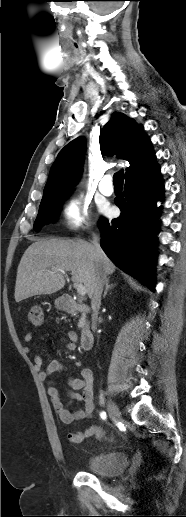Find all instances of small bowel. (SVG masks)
<instances>
[{
    "label": "small bowel",
    "instance_id": "small-bowel-1",
    "mask_svg": "<svg viewBox=\"0 0 186 517\" xmlns=\"http://www.w3.org/2000/svg\"><path fill=\"white\" fill-rule=\"evenodd\" d=\"M68 341L66 343V348L70 351H73L77 348L78 336L75 332L69 331L67 333ZM27 343L31 342L33 339V335L28 333L24 337ZM30 347L26 346L25 351L30 352ZM34 366L38 371L39 377L43 380L48 379L50 376L54 374L61 373L66 370V366L64 363L58 360L50 361L47 366L43 369L44 359L42 356L37 355L34 357ZM67 396L70 398V401L67 403H63L61 400V395L59 389L55 386L53 382L49 383L48 386V394L52 403V406L58 415L60 421L64 424H72L76 421L83 419H91L94 416L95 410V401H94V377L91 369L83 368L80 371V377L74 378L69 377L67 380ZM81 391V392H78ZM75 402H82L83 408L71 411L69 407ZM104 434L101 426L97 424H93L86 428L83 431L78 432H70L67 434V439L69 442L74 444L82 443L86 438H101Z\"/></svg>",
    "mask_w": 186,
    "mask_h": 517
}]
</instances>
